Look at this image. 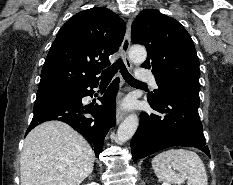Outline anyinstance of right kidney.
<instances>
[{
	"label": "right kidney",
	"instance_id": "obj_1",
	"mask_svg": "<svg viewBox=\"0 0 233 185\" xmlns=\"http://www.w3.org/2000/svg\"><path fill=\"white\" fill-rule=\"evenodd\" d=\"M87 185H99V184L96 183V182H92V183H89V184H87Z\"/></svg>",
	"mask_w": 233,
	"mask_h": 185
}]
</instances>
